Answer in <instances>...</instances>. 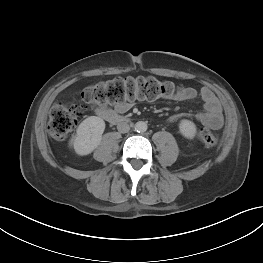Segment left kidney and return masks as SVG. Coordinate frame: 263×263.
I'll return each mask as SVG.
<instances>
[{
	"mask_svg": "<svg viewBox=\"0 0 263 263\" xmlns=\"http://www.w3.org/2000/svg\"><path fill=\"white\" fill-rule=\"evenodd\" d=\"M179 130L184 137L189 139L196 135V125L190 120H181Z\"/></svg>",
	"mask_w": 263,
	"mask_h": 263,
	"instance_id": "1",
	"label": "left kidney"
}]
</instances>
